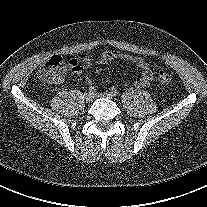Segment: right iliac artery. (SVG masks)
<instances>
[{"instance_id":"1","label":"right iliac artery","mask_w":207,"mask_h":207,"mask_svg":"<svg viewBox=\"0 0 207 207\" xmlns=\"http://www.w3.org/2000/svg\"><path fill=\"white\" fill-rule=\"evenodd\" d=\"M89 92L90 93H95L96 92V88L95 87H93V86H91L90 88H89Z\"/></svg>"}]
</instances>
